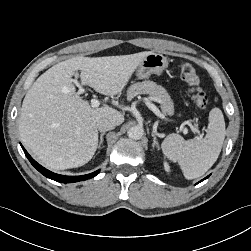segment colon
Here are the masks:
<instances>
[{"mask_svg": "<svg viewBox=\"0 0 251 251\" xmlns=\"http://www.w3.org/2000/svg\"><path fill=\"white\" fill-rule=\"evenodd\" d=\"M180 75L189 86V91L195 104L199 108H206L209 104V96L202 89L195 68L191 64L185 63L181 66Z\"/></svg>", "mask_w": 251, "mask_h": 251, "instance_id": "obj_1", "label": "colon"}]
</instances>
